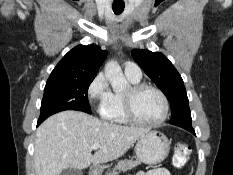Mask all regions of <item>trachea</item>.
<instances>
[{"label": "trachea", "instance_id": "1", "mask_svg": "<svg viewBox=\"0 0 233 175\" xmlns=\"http://www.w3.org/2000/svg\"><path fill=\"white\" fill-rule=\"evenodd\" d=\"M124 7V4H113V11L116 15H119L123 12Z\"/></svg>", "mask_w": 233, "mask_h": 175}]
</instances>
